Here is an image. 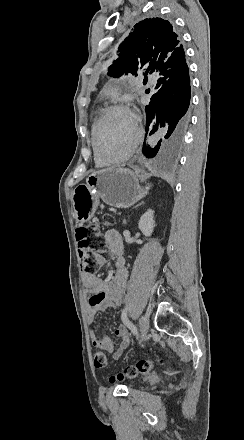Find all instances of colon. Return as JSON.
Wrapping results in <instances>:
<instances>
[{"instance_id":"1","label":"colon","mask_w":244,"mask_h":440,"mask_svg":"<svg viewBox=\"0 0 244 440\" xmlns=\"http://www.w3.org/2000/svg\"><path fill=\"white\" fill-rule=\"evenodd\" d=\"M106 222L110 218L106 217ZM76 240L78 242V253L81 259L85 261L87 272H93L103 263V254L105 253L106 240L99 226H80L76 229ZM93 366L97 369L105 368L108 365L106 354L103 351H94L92 356ZM152 368V362L149 359H141L135 364L127 365L124 370L111 376L113 382L123 379H134L143 374H148Z\"/></svg>"}]
</instances>
